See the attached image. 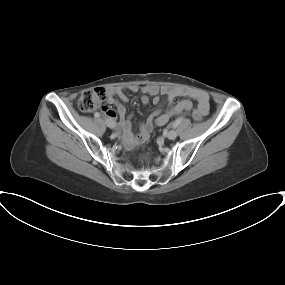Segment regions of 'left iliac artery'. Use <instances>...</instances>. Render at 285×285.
<instances>
[{"label":"left iliac artery","mask_w":285,"mask_h":285,"mask_svg":"<svg viewBox=\"0 0 285 285\" xmlns=\"http://www.w3.org/2000/svg\"><path fill=\"white\" fill-rule=\"evenodd\" d=\"M182 121V118H178L174 123H173V128H177V126L180 124Z\"/></svg>","instance_id":"obj_1"}]
</instances>
